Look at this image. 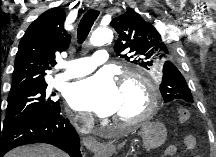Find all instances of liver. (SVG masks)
I'll list each match as a JSON object with an SVG mask.
<instances>
[{
  "instance_id": "liver-1",
  "label": "liver",
  "mask_w": 216,
  "mask_h": 157,
  "mask_svg": "<svg viewBox=\"0 0 216 157\" xmlns=\"http://www.w3.org/2000/svg\"><path fill=\"white\" fill-rule=\"evenodd\" d=\"M5 157H66V153L47 144H33L15 148Z\"/></svg>"
}]
</instances>
